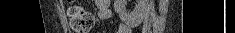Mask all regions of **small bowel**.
<instances>
[{
    "label": "small bowel",
    "mask_w": 235,
    "mask_h": 33,
    "mask_svg": "<svg viewBox=\"0 0 235 33\" xmlns=\"http://www.w3.org/2000/svg\"><path fill=\"white\" fill-rule=\"evenodd\" d=\"M98 8V17L102 20H109L112 18V12L110 10L109 0H96L95 1ZM116 33H131L130 27L125 24H120Z\"/></svg>",
    "instance_id": "small-bowel-1"
}]
</instances>
